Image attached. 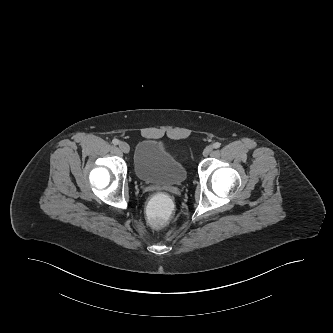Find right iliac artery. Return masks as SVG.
<instances>
[{
    "mask_svg": "<svg viewBox=\"0 0 333 333\" xmlns=\"http://www.w3.org/2000/svg\"><path fill=\"white\" fill-rule=\"evenodd\" d=\"M112 143H113L114 145H118V144H119V140H118V139H113V140H112Z\"/></svg>",
    "mask_w": 333,
    "mask_h": 333,
    "instance_id": "right-iliac-artery-1",
    "label": "right iliac artery"
}]
</instances>
